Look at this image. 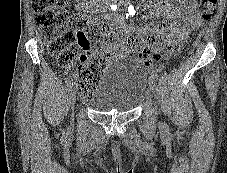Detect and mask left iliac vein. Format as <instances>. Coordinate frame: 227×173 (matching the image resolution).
<instances>
[{"instance_id": "obj_1", "label": "left iliac vein", "mask_w": 227, "mask_h": 173, "mask_svg": "<svg viewBox=\"0 0 227 173\" xmlns=\"http://www.w3.org/2000/svg\"><path fill=\"white\" fill-rule=\"evenodd\" d=\"M149 88L153 93L156 92V83L155 80L151 77L149 78Z\"/></svg>"}]
</instances>
